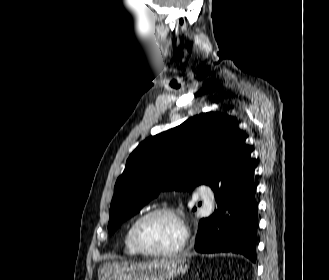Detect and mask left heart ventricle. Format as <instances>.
<instances>
[{"mask_svg":"<svg viewBox=\"0 0 329 280\" xmlns=\"http://www.w3.org/2000/svg\"><path fill=\"white\" fill-rule=\"evenodd\" d=\"M139 240L152 250H168L181 240V229L170 215L158 214L147 219L139 229Z\"/></svg>","mask_w":329,"mask_h":280,"instance_id":"obj_1","label":"left heart ventricle"}]
</instances>
